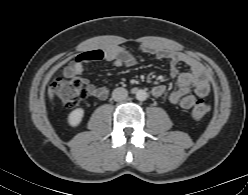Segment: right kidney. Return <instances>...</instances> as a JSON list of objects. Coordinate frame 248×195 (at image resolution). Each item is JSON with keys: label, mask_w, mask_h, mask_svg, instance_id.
I'll return each mask as SVG.
<instances>
[{"label": "right kidney", "mask_w": 248, "mask_h": 195, "mask_svg": "<svg viewBox=\"0 0 248 195\" xmlns=\"http://www.w3.org/2000/svg\"><path fill=\"white\" fill-rule=\"evenodd\" d=\"M83 116L84 110L82 108H77L69 114L68 123L73 127L78 126L81 123Z\"/></svg>", "instance_id": "ca27d5eb"}]
</instances>
